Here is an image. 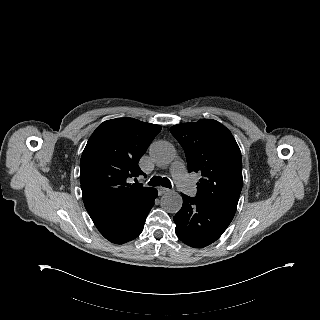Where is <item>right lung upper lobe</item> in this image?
Segmentation results:
<instances>
[{
  "mask_svg": "<svg viewBox=\"0 0 320 320\" xmlns=\"http://www.w3.org/2000/svg\"><path fill=\"white\" fill-rule=\"evenodd\" d=\"M161 127L133 118H116L100 124L81 156L83 201L93 221L123 212L154 188L130 184L144 173L138 162Z\"/></svg>",
  "mask_w": 320,
  "mask_h": 320,
  "instance_id": "cb5924a9",
  "label": "right lung upper lobe"
}]
</instances>
